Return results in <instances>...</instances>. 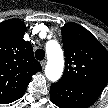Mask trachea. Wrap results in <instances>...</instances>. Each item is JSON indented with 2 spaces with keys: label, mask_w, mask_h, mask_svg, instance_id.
Returning <instances> with one entry per match:
<instances>
[{
  "label": "trachea",
  "mask_w": 108,
  "mask_h": 108,
  "mask_svg": "<svg viewBox=\"0 0 108 108\" xmlns=\"http://www.w3.org/2000/svg\"><path fill=\"white\" fill-rule=\"evenodd\" d=\"M35 57H36L37 60H40V61L43 60L44 57H45V52H44V50L38 49V50L35 52Z\"/></svg>",
  "instance_id": "obj_1"
}]
</instances>
